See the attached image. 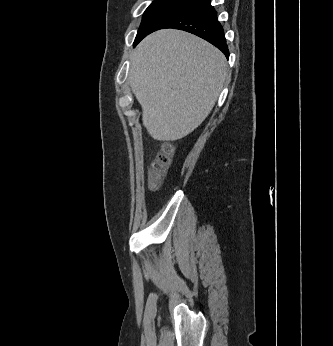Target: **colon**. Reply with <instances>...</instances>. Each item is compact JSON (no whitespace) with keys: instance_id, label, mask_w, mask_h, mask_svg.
I'll return each mask as SVG.
<instances>
[{"instance_id":"5ec220e1","label":"colon","mask_w":333,"mask_h":346,"mask_svg":"<svg viewBox=\"0 0 333 346\" xmlns=\"http://www.w3.org/2000/svg\"><path fill=\"white\" fill-rule=\"evenodd\" d=\"M174 148L172 145L166 144L162 147L160 153L153 162L149 174V186L152 190H157L164 181L167 169L171 163Z\"/></svg>"}]
</instances>
